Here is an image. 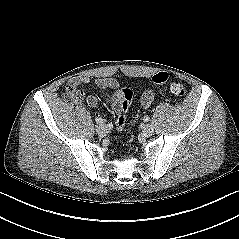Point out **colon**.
<instances>
[{
    "instance_id": "colon-1",
    "label": "colon",
    "mask_w": 239,
    "mask_h": 239,
    "mask_svg": "<svg viewBox=\"0 0 239 239\" xmlns=\"http://www.w3.org/2000/svg\"><path fill=\"white\" fill-rule=\"evenodd\" d=\"M170 76L167 72H158L152 77V82L157 85L165 84L169 81ZM171 92L179 97H183L185 95L184 86L178 81H171L170 83ZM123 100L121 103V111L118 113L116 118V130L118 132H122L124 130L126 124V113L130 107V104L134 97V90L131 86H125L122 90ZM65 97L74 102H80L83 99V93L78 90L77 86L73 83H68L65 89Z\"/></svg>"
}]
</instances>
